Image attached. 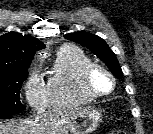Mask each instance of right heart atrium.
Returning a JSON list of instances; mask_svg holds the SVG:
<instances>
[{"mask_svg": "<svg viewBox=\"0 0 153 134\" xmlns=\"http://www.w3.org/2000/svg\"><path fill=\"white\" fill-rule=\"evenodd\" d=\"M23 89L25 99L33 110L41 111L45 108L44 83L36 70L29 74Z\"/></svg>", "mask_w": 153, "mask_h": 134, "instance_id": "1", "label": "right heart atrium"}]
</instances>
